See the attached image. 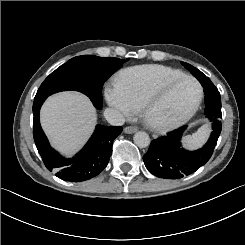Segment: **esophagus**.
<instances>
[{
    "label": "esophagus",
    "instance_id": "1",
    "mask_svg": "<svg viewBox=\"0 0 245 245\" xmlns=\"http://www.w3.org/2000/svg\"><path fill=\"white\" fill-rule=\"evenodd\" d=\"M137 130V127L134 126H128L124 128V132L127 134L134 133Z\"/></svg>",
    "mask_w": 245,
    "mask_h": 245
}]
</instances>
